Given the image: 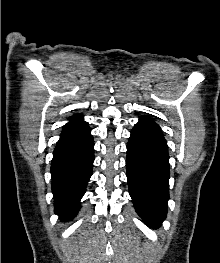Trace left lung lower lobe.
<instances>
[{"mask_svg":"<svg viewBox=\"0 0 220 263\" xmlns=\"http://www.w3.org/2000/svg\"><path fill=\"white\" fill-rule=\"evenodd\" d=\"M127 178L135 209L144 222L158 228L167 214L169 155L160 127L140 118L127 145Z\"/></svg>","mask_w":220,"mask_h":263,"instance_id":"0a47b994","label":"left lung lower lobe"}]
</instances>
